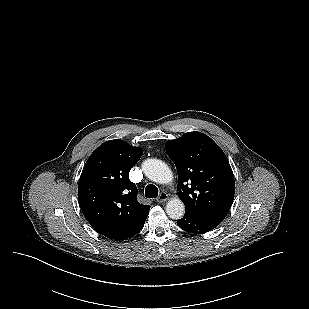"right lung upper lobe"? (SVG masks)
<instances>
[{
    "mask_svg": "<svg viewBox=\"0 0 309 309\" xmlns=\"http://www.w3.org/2000/svg\"><path fill=\"white\" fill-rule=\"evenodd\" d=\"M143 154L122 140L100 145L88 158L78 184L81 210L90 225L105 237L124 240L144 226L150 206L137 201L130 169Z\"/></svg>",
    "mask_w": 309,
    "mask_h": 309,
    "instance_id": "cb5924a9",
    "label": "right lung upper lobe"
}]
</instances>
